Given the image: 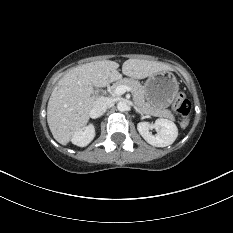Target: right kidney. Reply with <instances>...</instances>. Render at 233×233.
Returning a JSON list of instances; mask_svg holds the SVG:
<instances>
[{"label":"right kidney","instance_id":"ca27d5eb","mask_svg":"<svg viewBox=\"0 0 233 233\" xmlns=\"http://www.w3.org/2000/svg\"><path fill=\"white\" fill-rule=\"evenodd\" d=\"M95 136V128L92 124L79 129L72 137L71 141L79 147L87 146Z\"/></svg>","mask_w":233,"mask_h":233}]
</instances>
